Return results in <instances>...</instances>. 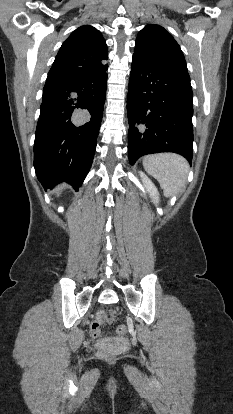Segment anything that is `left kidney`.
<instances>
[{
	"label": "left kidney",
	"mask_w": 233,
	"mask_h": 414,
	"mask_svg": "<svg viewBox=\"0 0 233 414\" xmlns=\"http://www.w3.org/2000/svg\"><path fill=\"white\" fill-rule=\"evenodd\" d=\"M140 173V177L142 179V182L145 186V188L147 189V191L149 192L150 196L152 197V199L155 202L159 201V193L157 188L155 187V185L152 183V181L143 173V172H139Z\"/></svg>",
	"instance_id": "left-kidney-1"
}]
</instances>
